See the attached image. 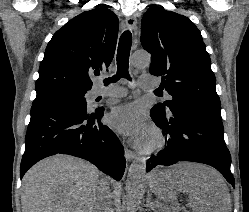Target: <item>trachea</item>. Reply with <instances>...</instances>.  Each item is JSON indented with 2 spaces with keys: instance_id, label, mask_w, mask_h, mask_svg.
<instances>
[{
  "instance_id": "trachea-1",
  "label": "trachea",
  "mask_w": 249,
  "mask_h": 212,
  "mask_svg": "<svg viewBox=\"0 0 249 212\" xmlns=\"http://www.w3.org/2000/svg\"><path fill=\"white\" fill-rule=\"evenodd\" d=\"M132 45V34L129 30H126L121 35L119 40L118 50H117V74L108 80H104L105 85H108L110 82H117L120 78L124 77L130 79L128 73V61L130 55V49Z\"/></svg>"
}]
</instances>
